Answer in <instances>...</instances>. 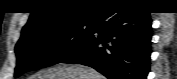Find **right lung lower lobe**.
I'll use <instances>...</instances> for the list:
<instances>
[{
  "label": "right lung lower lobe",
  "instance_id": "98d812e1",
  "mask_svg": "<svg viewBox=\"0 0 177 79\" xmlns=\"http://www.w3.org/2000/svg\"><path fill=\"white\" fill-rule=\"evenodd\" d=\"M149 13L134 6L104 9L92 21L87 40L60 63L87 65L109 79H146L151 53Z\"/></svg>",
  "mask_w": 177,
  "mask_h": 79
}]
</instances>
